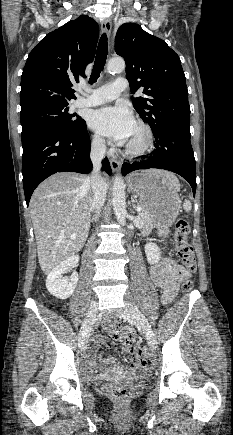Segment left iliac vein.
Wrapping results in <instances>:
<instances>
[{"instance_id": "left-iliac-vein-1", "label": "left iliac vein", "mask_w": 233, "mask_h": 435, "mask_svg": "<svg viewBox=\"0 0 233 435\" xmlns=\"http://www.w3.org/2000/svg\"><path fill=\"white\" fill-rule=\"evenodd\" d=\"M123 317L128 322L134 323L140 327V329L145 334L149 346L154 349L156 347V337L155 334L143 313L138 309L137 306L126 302L125 309L123 311Z\"/></svg>"}]
</instances>
